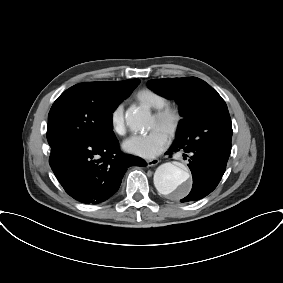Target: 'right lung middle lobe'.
I'll return each instance as SVG.
<instances>
[{"label":"right lung middle lobe","instance_id":"obj_1","mask_svg":"<svg viewBox=\"0 0 283 283\" xmlns=\"http://www.w3.org/2000/svg\"><path fill=\"white\" fill-rule=\"evenodd\" d=\"M136 86L102 99L96 98L79 84L64 91L48 115L49 145L77 140L103 142L114 137L112 113Z\"/></svg>","mask_w":283,"mask_h":283}]
</instances>
